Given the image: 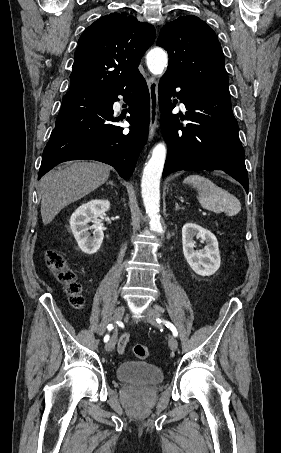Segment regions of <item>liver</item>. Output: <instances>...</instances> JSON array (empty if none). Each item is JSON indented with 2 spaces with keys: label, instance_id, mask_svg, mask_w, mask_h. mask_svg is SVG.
<instances>
[{
  "label": "liver",
  "instance_id": "obj_1",
  "mask_svg": "<svg viewBox=\"0 0 281 453\" xmlns=\"http://www.w3.org/2000/svg\"><path fill=\"white\" fill-rule=\"evenodd\" d=\"M111 166L103 162H73L63 170L47 172L40 180L41 216L49 224L56 214L79 198H83L110 176Z\"/></svg>",
  "mask_w": 281,
  "mask_h": 453
}]
</instances>
